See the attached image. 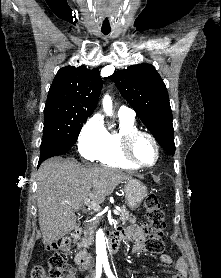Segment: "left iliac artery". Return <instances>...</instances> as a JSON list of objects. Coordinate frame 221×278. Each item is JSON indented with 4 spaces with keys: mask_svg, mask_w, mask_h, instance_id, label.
Listing matches in <instances>:
<instances>
[{
    "mask_svg": "<svg viewBox=\"0 0 221 278\" xmlns=\"http://www.w3.org/2000/svg\"><path fill=\"white\" fill-rule=\"evenodd\" d=\"M103 267H104L105 273L108 278H115V276L113 275V273L110 270V265L108 262H104Z\"/></svg>",
    "mask_w": 221,
    "mask_h": 278,
    "instance_id": "left-iliac-artery-1",
    "label": "left iliac artery"
}]
</instances>
